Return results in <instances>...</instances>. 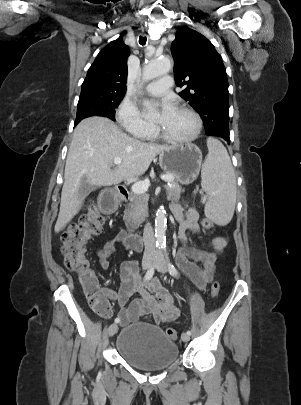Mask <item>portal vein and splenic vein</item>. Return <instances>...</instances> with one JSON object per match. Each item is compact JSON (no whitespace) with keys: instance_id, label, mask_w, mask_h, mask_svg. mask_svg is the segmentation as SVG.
<instances>
[{"instance_id":"1","label":"portal vein and splenic vein","mask_w":301,"mask_h":405,"mask_svg":"<svg viewBox=\"0 0 301 405\" xmlns=\"http://www.w3.org/2000/svg\"><path fill=\"white\" fill-rule=\"evenodd\" d=\"M121 162H122V159L120 157L114 158L115 165H119V164H121ZM161 179L165 182H170L173 180V177L171 175H162ZM149 186H150L149 179H145L143 181L134 183L132 185V191L136 194H142L148 190ZM202 200L204 202L206 200V197L204 196Z\"/></svg>"}]
</instances>
